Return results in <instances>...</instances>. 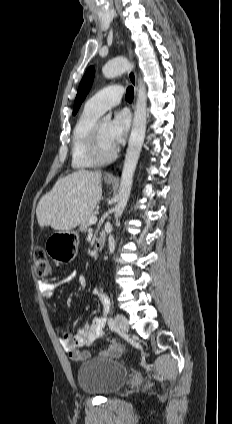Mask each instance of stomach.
<instances>
[{"instance_id":"1","label":"stomach","mask_w":232,"mask_h":424,"mask_svg":"<svg viewBox=\"0 0 232 424\" xmlns=\"http://www.w3.org/2000/svg\"><path fill=\"white\" fill-rule=\"evenodd\" d=\"M105 183L110 185L112 181L105 179ZM78 242L77 232L71 230L67 232L58 231L48 237L45 249L54 261L65 263L74 259Z\"/></svg>"}]
</instances>
